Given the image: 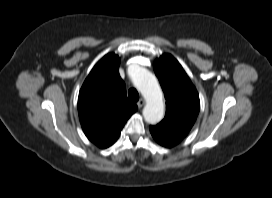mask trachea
<instances>
[{
  "instance_id": "3493384b",
  "label": "trachea",
  "mask_w": 272,
  "mask_h": 198,
  "mask_svg": "<svg viewBox=\"0 0 272 198\" xmlns=\"http://www.w3.org/2000/svg\"><path fill=\"white\" fill-rule=\"evenodd\" d=\"M128 97L131 101L137 102L139 100V93L135 88H131L128 91Z\"/></svg>"
}]
</instances>
